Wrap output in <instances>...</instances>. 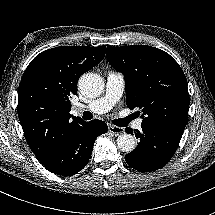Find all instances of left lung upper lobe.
Masks as SVG:
<instances>
[{"label": "left lung upper lobe", "instance_id": "left-lung-upper-lobe-1", "mask_svg": "<svg viewBox=\"0 0 215 215\" xmlns=\"http://www.w3.org/2000/svg\"><path fill=\"white\" fill-rule=\"evenodd\" d=\"M106 55L124 75L127 106L142 109V125L186 126L187 81L173 57L147 45L107 46Z\"/></svg>", "mask_w": 215, "mask_h": 215}]
</instances>
